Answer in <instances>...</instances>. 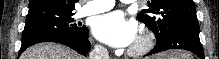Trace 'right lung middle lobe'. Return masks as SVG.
<instances>
[{
	"instance_id": "1",
	"label": "right lung middle lobe",
	"mask_w": 219,
	"mask_h": 59,
	"mask_svg": "<svg viewBox=\"0 0 219 59\" xmlns=\"http://www.w3.org/2000/svg\"><path fill=\"white\" fill-rule=\"evenodd\" d=\"M72 12L57 10H37L28 13L22 33V43L51 35L84 37L85 26L74 23Z\"/></svg>"
}]
</instances>
